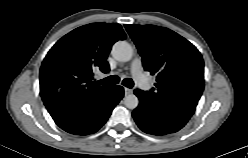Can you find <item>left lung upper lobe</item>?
<instances>
[{"label":"left lung upper lobe","mask_w":248,"mask_h":158,"mask_svg":"<svg viewBox=\"0 0 248 158\" xmlns=\"http://www.w3.org/2000/svg\"><path fill=\"white\" fill-rule=\"evenodd\" d=\"M136 44L144 69L156 74V89L142 91L158 107L187 120L204 90L200 52L174 31L155 25H125Z\"/></svg>","instance_id":"5c2ea615"}]
</instances>
